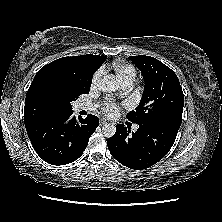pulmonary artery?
Masks as SVG:
<instances>
[{
  "instance_id": "obj_1",
  "label": "pulmonary artery",
  "mask_w": 222,
  "mask_h": 222,
  "mask_svg": "<svg viewBox=\"0 0 222 222\" xmlns=\"http://www.w3.org/2000/svg\"><path fill=\"white\" fill-rule=\"evenodd\" d=\"M133 83L132 82H125L121 84V88L123 91H128L132 87ZM93 106L89 103H80L78 105V110H92ZM138 129V126L134 127V131Z\"/></svg>"
}]
</instances>
